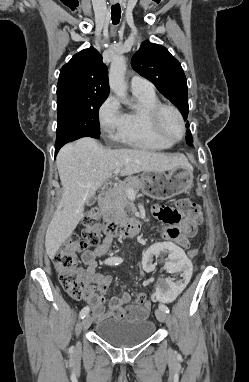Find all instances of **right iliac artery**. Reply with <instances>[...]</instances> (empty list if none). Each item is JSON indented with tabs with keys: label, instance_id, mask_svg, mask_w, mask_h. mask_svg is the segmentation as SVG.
Returning <instances> with one entry per match:
<instances>
[{
	"label": "right iliac artery",
	"instance_id": "obj_1",
	"mask_svg": "<svg viewBox=\"0 0 249 382\" xmlns=\"http://www.w3.org/2000/svg\"><path fill=\"white\" fill-rule=\"evenodd\" d=\"M121 262H122V258H120V257H113V258H108L105 260V263L108 265H118ZM88 313H89V307L86 306L80 311L79 316H80V318L83 319L84 317H86L88 315Z\"/></svg>",
	"mask_w": 249,
	"mask_h": 382
}]
</instances>
